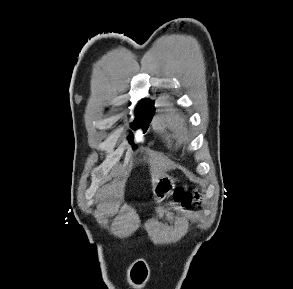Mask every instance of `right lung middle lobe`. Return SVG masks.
Here are the masks:
<instances>
[{"instance_id": "obj_1", "label": "right lung middle lobe", "mask_w": 293, "mask_h": 289, "mask_svg": "<svg viewBox=\"0 0 293 289\" xmlns=\"http://www.w3.org/2000/svg\"><path fill=\"white\" fill-rule=\"evenodd\" d=\"M145 105L144 102H142L141 104L138 105L137 110L135 112L136 114V121L135 123H138L139 126H142L143 129L145 130L144 132H146L149 122L152 119L153 113L152 112H147L144 109ZM132 123V126L135 124ZM133 136L129 137V142L132 143L133 142Z\"/></svg>"}]
</instances>
